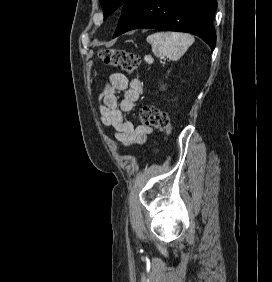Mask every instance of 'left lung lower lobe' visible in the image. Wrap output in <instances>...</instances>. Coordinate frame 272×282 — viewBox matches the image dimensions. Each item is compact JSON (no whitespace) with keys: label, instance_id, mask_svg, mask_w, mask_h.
<instances>
[{"label":"left lung lower lobe","instance_id":"0a47b994","mask_svg":"<svg viewBox=\"0 0 272 282\" xmlns=\"http://www.w3.org/2000/svg\"><path fill=\"white\" fill-rule=\"evenodd\" d=\"M216 0H127L113 38L137 28L189 32L215 47Z\"/></svg>","mask_w":272,"mask_h":282}]
</instances>
